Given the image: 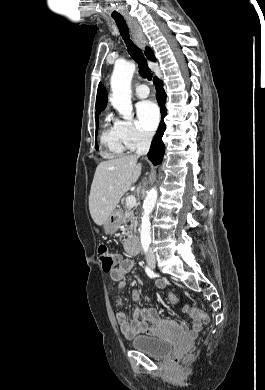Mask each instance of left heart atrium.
Returning a JSON list of instances; mask_svg holds the SVG:
<instances>
[{
    "label": "left heart atrium",
    "instance_id": "left-heart-atrium-1",
    "mask_svg": "<svg viewBox=\"0 0 265 390\" xmlns=\"http://www.w3.org/2000/svg\"><path fill=\"white\" fill-rule=\"evenodd\" d=\"M138 125L147 132H152L159 122V111L157 106L149 100L139 102L136 105Z\"/></svg>",
    "mask_w": 265,
    "mask_h": 390
}]
</instances>
